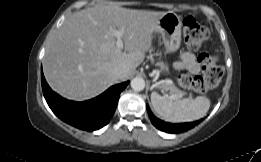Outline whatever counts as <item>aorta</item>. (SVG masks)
Listing matches in <instances>:
<instances>
[{
  "instance_id": "1",
  "label": "aorta",
  "mask_w": 261,
  "mask_h": 162,
  "mask_svg": "<svg viewBox=\"0 0 261 162\" xmlns=\"http://www.w3.org/2000/svg\"><path fill=\"white\" fill-rule=\"evenodd\" d=\"M131 88L135 91H142L145 88V81L142 77H135L131 80Z\"/></svg>"
}]
</instances>
